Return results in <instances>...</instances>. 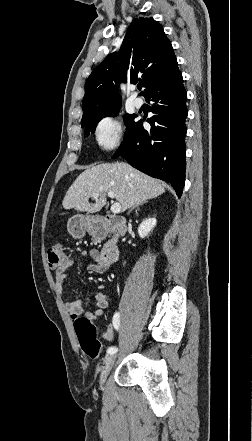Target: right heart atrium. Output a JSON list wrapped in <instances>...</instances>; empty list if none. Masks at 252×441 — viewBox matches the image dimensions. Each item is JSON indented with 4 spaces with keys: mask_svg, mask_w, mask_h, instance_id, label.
<instances>
[{
    "mask_svg": "<svg viewBox=\"0 0 252 441\" xmlns=\"http://www.w3.org/2000/svg\"><path fill=\"white\" fill-rule=\"evenodd\" d=\"M122 136V121L116 116L103 117L95 127V143L102 152L116 149L121 143Z\"/></svg>",
    "mask_w": 252,
    "mask_h": 441,
    "instance_id": "right-heart-atrium-1",
    "label": "right heart atrium"
}]
</instances>
